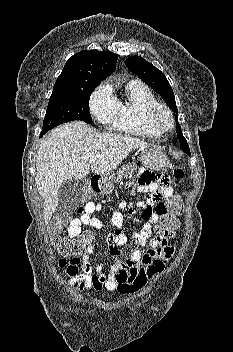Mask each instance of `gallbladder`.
Listing matches in <instances>:
<instances>
[{"mask_svg": "<svg viewBox=\"0 0 233 352\" xmlns=\"http://www.w3.org/2000/svg\"><path fill=\"white\" fill-rule=\"evenodd\" d=\"M86 187V183L82 180L69 179L64 181L58 190L57 212L63 216L73 213L80 204Z\"/></svg>", "mask_w": 233, "mask_h": 352, "instance_id": "1", "label": "gallbladder"}]
</instances>
